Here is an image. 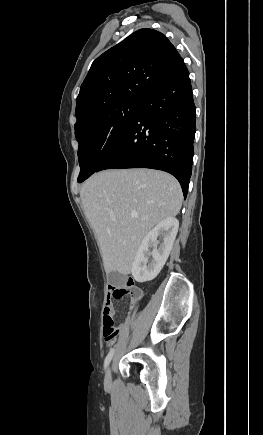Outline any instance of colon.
Returning a JSON list of instances; mask_svg holds the SVG:
<instances>
[{
  "label": "colon",
  "mask_w": 263,
  "mask_h": 435,
  "mask_svg": "<svg viewBox=\"0 0 263 435\" xmlns=\"http://www.w3.org/2000/svg\"><path fill=\"white\" fill-rule=\"evenodd\" d=\"M133 286L132 281H128L126 285L123 286H109V296L113 299H121L130 291ZM103 334L107 341H111L116 337L119 329L115 326L113 312L108 311L104 313L103 317Z\"/></svg>",
  "instance_id": "obj_1"
}]
</instances>
